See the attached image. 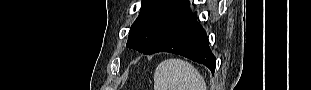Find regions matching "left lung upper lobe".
Here are the masks:
<instances>
[{
	"label": "left lung upper lobe",
	"mask_w": 311,
	"mask_h": 90,
	"mask_svg": "<svg viewBox=\"0 0 311 90\" xmlns=\"http://www.w3.org/2000/svg\"><path fill=\"white\" fill-rule=\"evenodd\" d=\"M189 13L187 0H143L140 14L130 28L127 46L149 54Z\"/></svg>",
	"instance_id": "obj_1"
}]
</instances>
